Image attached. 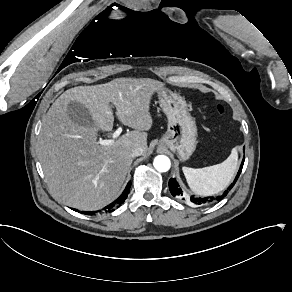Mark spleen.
I'll return each instance as SVG.
<instances>
[{
	"label": "spleen",
	"instance_id": "obj_1",
	"mask_svg": "<svg viewBox=\"0 0 292 292\" xmlns=\"http://www.w3.org/2000/svg\"><path fill=\"white\" fill-rule=\"evenodd\" d=\"M237 151L231 150L228 158L220 164L204 168L182 167L189 187L197 194L211 195L224 189L234 176Z\"/></svg>",
	"mask_w": 292,
	"mask_h": 292
}]
</instances>
